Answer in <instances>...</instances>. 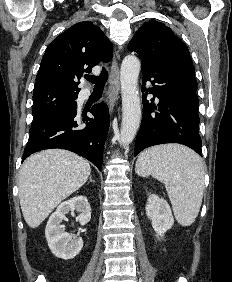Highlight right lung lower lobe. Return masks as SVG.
I'll use <instances>...</instances> for the list:
<instances>
[{"label": "right lung lower lobe", "instance_id": "right-lung-lower-lobe-1", "mask_svg": "<svg viewBox=\"0 0 232 282\" xmlns=\"http://www.w3.org/2000/svg\"><path fill=\"white\" fill-rule=\"evenodd\" d=\"M93 118L83 116L86 127L78 128L77 107L59 111L46 120L31 125L30 138L22 162L29 155L44 149L61 148L72 151L102 169V154L109 129V110L105 103L95 104Z\"/></svg>", "mask_w": 232, "mask_h": 282}]
</instances>
